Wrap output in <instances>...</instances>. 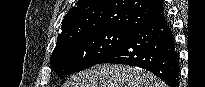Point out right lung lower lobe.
Segmentation results:
<instances>
[{
    "instance_id": "1",
    "label": "right lung lower lobe",
    "mask_w": 205,
    "mask_h": 87,
    "mask_svg": "<svg viewBox=\"0 0 205 87\" xmlns=\"http://www.w3.org/2000/svg\"><path fill=\"white\" fill-rule=\"evenodd\" d=\"M116 63L146 69L178 87L179 57L174 35L165 14L154 18L132 32L112 53L98 64Z\"/></svg>"
}]
</instances>
